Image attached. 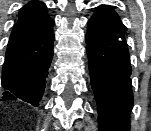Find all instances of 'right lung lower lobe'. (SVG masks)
Wrapping results in <instances>:
<instances>
[{
  "label": "right lung lower lobe",
  "instance_id": "1",
  "mask_svg": "<svg viewBox=\"0 0 151 131\" xmlns=\"http://www.w3.org/2000/svg\"><path fill=\"white\" fill-rule=\"evenodd\" d=\"M52 57L53 48L48 59L36 71L14 83L3 84L4 91L0 93V99H21L32 104L34 107L38 106L45 90L46 78L49 73Z\"/></svg>",
  "mask_w": 151,
  "mask_h": 131
}]
</instances>
